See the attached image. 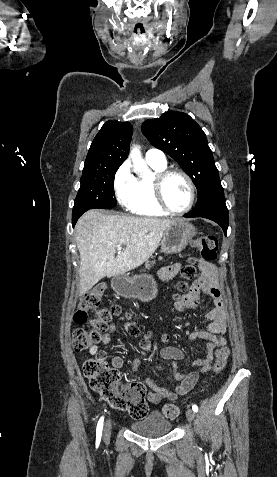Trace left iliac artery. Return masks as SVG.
Segmentation results:
<instances>
[{"instance_id":"44dca946","label":"left iliac artery","mask_w":277,"mask_h":477,"mask_svg":"<svg viewBox=\"0 0 277 477\" xmlns=\"http://www.w3.org/2000/svg\"><path fill=\"white\" fill-rule=\"evenodd\" d=\"M192 410H193L194 412H197V411H198L197 405H193V406H192Z\"/></svg>"}]
</instances>
